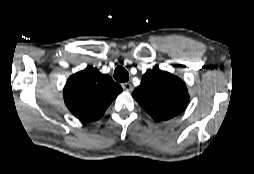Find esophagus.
Segmentation results:
<instances>
[{
  "mask_svg": "<svg viewBox=\"0 0 254 174\" xmlns=\"http://www.w3.org/2000/svg\"><path fill=\"white\" fill-rule=\"evenodd\" d=\"M121 86L126 91L131 92L133 90V87L129 82L122 83Z\"/></svg>",
  "mask_w": 254,
  "mask_h": 174,
  "instance_id": "obj_1",
  "label": "esophagus"
}]
</instances>
